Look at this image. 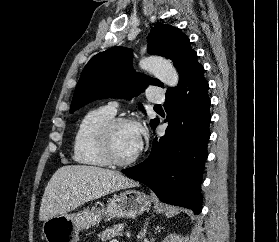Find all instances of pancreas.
I'll return each instance as SVG.
<instances>
[{"mask_svg":"<svg viewBox=\"0 0 279 242\" xmlns=\"http://www.w3.org/2000/svg\"><path fill=\"white\" fill-rule=\"evenodd\" d=\"M124 230L123 224L113 225L110 228L105 229L98 234V239H101L102 242H106L114 237L120 236Z\"/></svg>","mask_w":279,"mask_h":242,"instance_id":"pancreas-1","label":"pancreas"}]
</instances>
